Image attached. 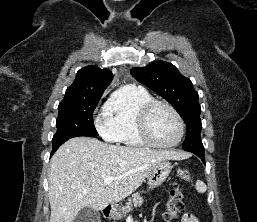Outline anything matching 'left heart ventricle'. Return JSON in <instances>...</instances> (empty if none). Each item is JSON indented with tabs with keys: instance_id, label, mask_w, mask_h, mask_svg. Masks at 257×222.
I'll return each mask as SVG.
<instances>
[{
	"instance_id": "b2bd125f",
	"label": "left heart ventricle",
	"mask_w": 257,
	"mask_h": 222,
	"mask_svg": "<svg viewBox=\"0 0 257 222\" xmlns=\"http://www.w3.org/2000/svg\"><path fill=\"white\" fill-rule=\"evenodd\" d=\"M149 127L153 138L163 144L174 142L179 133L176 118L167 108L156 107L150 115Z\"/></svg>"
}]
</instances>
